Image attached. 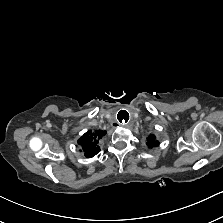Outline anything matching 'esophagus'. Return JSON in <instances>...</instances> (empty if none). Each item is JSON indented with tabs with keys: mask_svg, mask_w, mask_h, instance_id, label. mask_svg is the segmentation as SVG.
<instances>
[{
	"mask_svg": "<svg viewBox=\"0 0 223 223\" xmlns=\"http://www.w3.org/2000/svg\"><path fill=\"white\" fill-rule=\"evenodd\" d=\"M117 121L120 125L127 126L131 123L132 116L129 112L122 110L117 115Z\"/></svg>",
	"mask_w": 223,
	"mask_h": 223,
	"instance_id": "1",
	"label": "esophagus"
}]
</instances>
